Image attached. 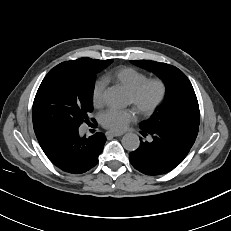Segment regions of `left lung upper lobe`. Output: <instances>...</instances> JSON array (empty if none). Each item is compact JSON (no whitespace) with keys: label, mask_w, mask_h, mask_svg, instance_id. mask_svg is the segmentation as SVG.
I'll return each mask as SVG.
<instances>
[{"label":"left lung upper lobe","mask_w":231,"mask_h":231,"mask_svg":"<svg viewBox=\"0 0 231 231\" xmlns=\"http://www.w3.org/2000/svg\"><path fill=\"white\" fill-rule=\"evenodd\" d=\"M133 64L157 74L166 85L162 107L151 119L143 121L145 130H163L197 136L200 112L196 94L185 74L175 66L151 60H133Z\"/></svg>","instance_id":"5c2ea615"}]
</instances>
